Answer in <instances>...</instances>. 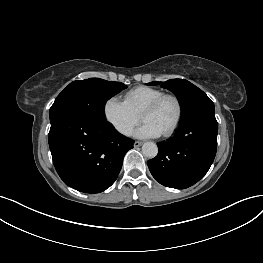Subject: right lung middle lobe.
<instances>
[{
	"label": "right lung middle lobe",
	"instance_id": "obj_1",
	"mask_svg": "<svg viewBox=\"0 0 263 263\" xmlns=\"http://www.w3.org/2000/svg\"><path fill=\"white\" fill-rule=\"evenodd\" d=\"M125 88L123 83L99 78L73 81L57 96L51 106L50 122L64 115H81L105 121L106 101Z\"/></svg>",
	"mask_w": 263,
	"mask_h": 263
}]
</instances>
